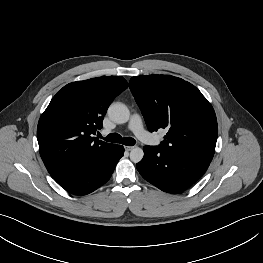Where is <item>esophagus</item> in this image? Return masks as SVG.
Listing matches in <instances>:
<instances>
[{
  "mask_svg": "<svg viewBox=\"0 0 263 263\" xmlns=\"http://www.w3.org/2000/svg\"><path fill=\"white\" fill-rule=\"evenodd\" d=\"M134 147L133 146H125L126 151H131Z\"/></svg>",
  "mask_w": 263,
  "mask_h": 263,
  "instance_id": "34e87169",
  "label": "esophagus"
}]
</instances>
